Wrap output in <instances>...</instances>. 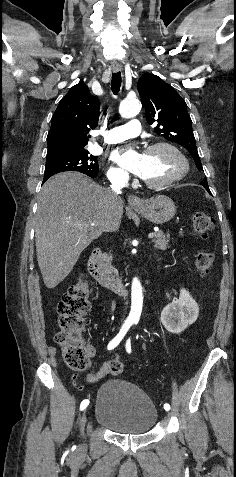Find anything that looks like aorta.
Here are the masks:
<instances>
[{"mask_svg":"<svg viewBox=\"0 0 236 477\" xmlns=\"http://www.w3.org/2000/svg\"><path fill=\"white\" fill-rule=\"evenodd\" d=\"M141 110V103L136 98H126L119 106V113L124 118L135 117ZM143 306L142 285L137 278H133L131 285V311L130 318L139 320Z\"/></svg>","mask_w":236,"mask_h":477,"instance_id":"1","label":"aorta"}]
</instances>
